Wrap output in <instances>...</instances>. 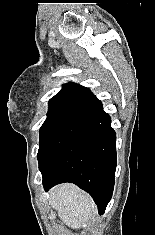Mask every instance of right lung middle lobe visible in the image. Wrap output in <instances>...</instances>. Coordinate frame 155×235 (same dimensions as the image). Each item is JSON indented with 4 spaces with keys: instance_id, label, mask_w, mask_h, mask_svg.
Listing matches in <instances>:
<instances>
[{
    "instance_id": "obj_1",
    "label": "right lung middle lobe",
    "mask_w": 155,
    "mask_h": 235,
    "mask_svg": "<svg viewBox=\"0 0 155 235\" xmlns=\"http://www.w3.org/2000/svg\"><path fill=\"white\" fill-rule=\"evenodd\" d=\"M92 124L72 116L48 113L40 128L39 169L48 168L59 153Z\"/></svg>"
}]
</instances>
